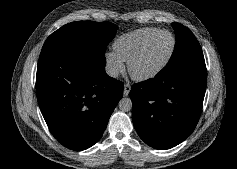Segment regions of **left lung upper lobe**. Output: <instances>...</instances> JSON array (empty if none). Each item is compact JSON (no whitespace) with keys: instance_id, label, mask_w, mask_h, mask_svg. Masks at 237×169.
Instances as JSON below:
<instances>
[{"instance_id":"left-lung-upper-lobe-1","label":"left lung upper lobe","mask_w":237,"mask_h":169,"mask_svg":"<svg viewBox=\"0 0 237 169\" xmlns=\"http://www.w3.org/2000/svg\"><path fill=\"white\" fill-rule=\"evenodd\" d=\"M172 26L176 36L175 49L162 71L171 72L189 63L204 62L201 46L194 34L179 23H173Z\"/></svg>"}]
</instances>
